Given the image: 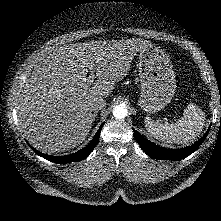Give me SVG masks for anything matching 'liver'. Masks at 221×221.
I'll list each match as a JSON object with an SVG mask.
<instances>
[{"instance_id":"6515ba94","label":"liver","mask_w":221,"mask_h":221,"mask_svg":"<svg viewBox=\"0 0 221 221\" xmlns=\"http://www.w3.org/2000/svg\"><path fill=\"white\" fill-rule=\"evenodd\" d=\"M147 40L94 41L56 49L26 79L19 97V125L43 153H59L80 145L93 123L92 104L106 98L128 73ZM89 70L97 80L89 82Z\"/></svg>"}]
</instances>
